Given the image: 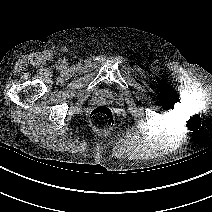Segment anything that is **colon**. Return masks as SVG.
<instances>
[{
	"mask_svg": "<svg viewBox=\"0 0 212 212\" xmlns=\"http://www.w3.org/2000/svg\"><path fill=\"white\" fill-rule=\"evenodd\" d=\"M117 117L112 108L99 106L89 116L91 126L97 131H106L114 126Z\"/></svg>",
	"mask_w": 212,
	"mask_h": 212,
	"instance_id": "5ec220e1",
	"label": "colon"
}]
</instances>
